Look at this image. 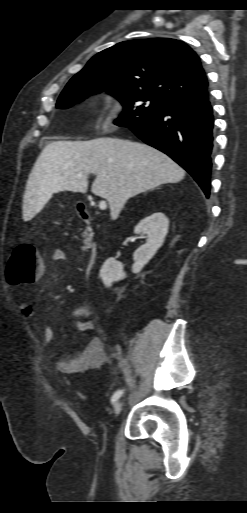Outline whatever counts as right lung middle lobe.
<instances>
[{
  "label": "right lung middle lobe",
  "instance_id": "dd1d6c3e",
  "mask_svg": "<svg viewBox=\"0 0 247 513\" xmlns=\"http://www.w3.org/2000/svg\"><path fill=\"white\" fill-rule=\"evenodd\" d=\"M108 91L122 103L124 110L115 124L130 127L140 124L158 113L167 103L152 96L141 95L124 86H108L105 83H86L70 80L57 101V108H68L91 94Z\"/></svg>",
  "mask_w": 247,
  "mask_h": 513
}]
</instances>
